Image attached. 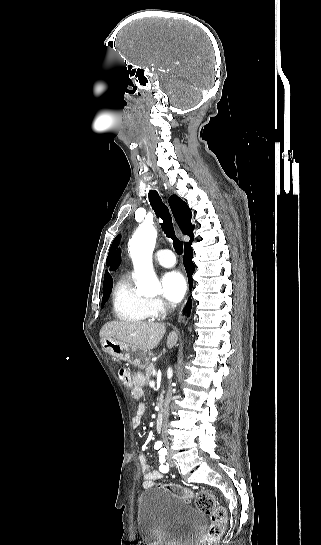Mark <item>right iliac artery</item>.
<instances>
[{"label": "right iliac artery", "instance_id": "right-iliac-artery-1", "mask_svg": "<svg viewBox=\"0 0 321 545\" xmlns=\"http://www.w3.org/2000/svg\"><path fill=\"white\" fill-rule=\"evenodd\" d=\"M162 444L160 442H156L155 445H154V448L155 449H159L161 448Z\"/></svg>", "mask_w": 321, "mask_h": 545}]
</instances>
